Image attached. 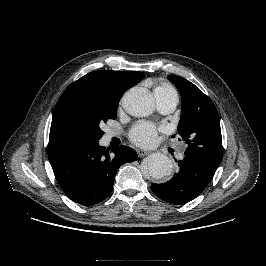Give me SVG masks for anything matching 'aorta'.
I'll return each mask as SVG.
<instances>
[{"label":"aorta","instance_id":"aorta-1","mask_svg":"<svg viewBox=\"0 0 266 266\" xmlns=\"http://www.w3.org/2000/svg\"><path fill=\"white\" fill-rule=\"evenodd\" d=\"M124 110L135 117H145L152 113L154 109L153 96L142 90L131 89L122 98ZM144 174L154 179H161L171 175L173 171L172 161L162 153H153L147 157L142 165Z\"/></svg>","mask_w":266,"mask_h":266}]
</instances>
